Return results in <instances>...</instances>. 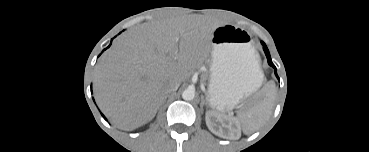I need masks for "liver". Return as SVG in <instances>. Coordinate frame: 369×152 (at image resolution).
Listing matches in <instances>:
<instances>
[{
	"label": "liver",
	"mask_w": 369,
	"mask_h": 152,
	"mask_svg": "<svg viewBox=\"0 0 369 152\" xmlns=\"http://www.w3.org/2000/svg\"><path fill=\"white\" fill-rule=\"evenodd\" d=\"M219 25L198 18H170L126 32L95 68L94 93L110 122L134 130L154 118L165 85L187 79L208 53Z\"/></svg>",
	"instance_id": "6515ba94"
}]
</instances>
